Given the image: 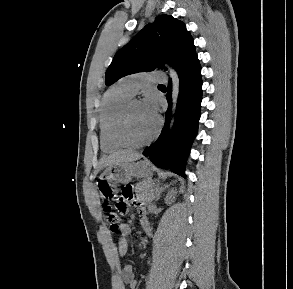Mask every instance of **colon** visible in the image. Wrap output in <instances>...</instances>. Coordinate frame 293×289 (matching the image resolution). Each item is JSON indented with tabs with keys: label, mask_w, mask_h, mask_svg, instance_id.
I'll list each match as a JSON object with an SVG mask.
<instances>
[{
	"label": "colon",
	"mask_w": 293,
	"mask_h": 289,
	"mask_svg": "<svg viewBox=\"0 0 293 289\" xmlns=\"http://www.w3.org/2000/svg\"><path fill=\"white\" fill-rule=\"evenodd\" d=\"M133 197V189L130 185H125L122 188L121 195L116 202L114 208L109 205H105L103 207V212L105 214L106 222L111 229L112 232L117 233L121 230V223L119 219V215H126L131 210H135L139 213V209L132 202Z\"/></svg>",
	"instance_id": "obj_1"
}]
</instances>
